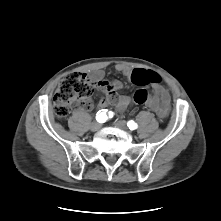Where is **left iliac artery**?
<instances>
[{"label": "left iliac artery", "instance_id": "1", "mask_svg": "<svg viewBox=\"0 0 221 221\" xmlns=\"http://www.w3.org/2000/svg\"><path fill=\"white\" fill-rule=\"evenodd\" d=\"M127 126L130 130H135L138 127V125L132 120L128 121Z\"/></svg>", "mask_w": 221, "mask_h": 221}]
</instances>
